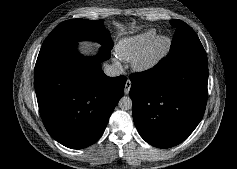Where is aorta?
I'll list each match as a JSON object with an SVG mask.
<instances>
[{
  "instance_id": "1",
  "label": "aorta",
  "mask_w": 237,
  "mask_h": 169,
  "mask_svg": "<svg viewBox=\"0 0 237 169\" xmlns=\"http://www.w3.org/2000/svg\"><path fill=\"white\" fill-rule=\"evenodd\" d=\"M119 108L122 110H130L132 109V100L129 96H123L119 103Z\"/></svg>"
}]
</instances>
